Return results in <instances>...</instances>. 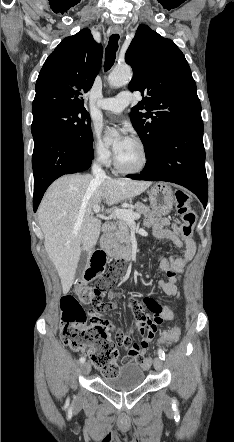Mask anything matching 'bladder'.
Masks as SVG:
<instances>
[{
	"label": "bladder",
	"mask_w": 234,
	"mask_h": 442,
	"mask_svg": "<svg viewBox=\"0 0 234 442\" xmlns=\"http://www.w3.org/2000/svg\"><path fill=\"white\" fill-rule=\"evenodd\" d=\"M145 378L144 370L137 364H127L115 376L104 377L103 383L114 390H129L140 386Z\"/></svg>",
	"instance_id": "obj_1"
}]
</instances>
